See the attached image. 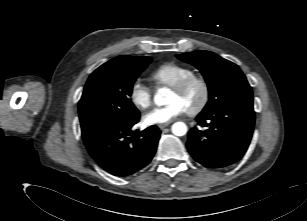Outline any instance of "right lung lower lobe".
Listing matches in <instances>:
<instances>
[{"mask_svg":"<svg viewBox=\"0 0 307 221\" xmlns=\"http://www.w3.org/2000/svg\"><path fill=\"white\" fill-rule=\"evenodd\" d=\"M139 119L140 115L128 122L105 126L83 138L91 157L110 174L126 177L152 160L161 132L156 126L133 131Z\"/></svg>","mask_w":307,"mask_h":221,"instance_id":"98d812e1","label":"right lung lower lobe"}]
</instances>
